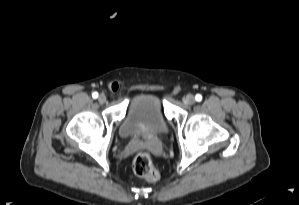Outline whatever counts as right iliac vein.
<instances>
[{"instance_id":"1","label":"right iliac vein","mask_w":299,"mask_h":205,"mask_svg":"<svg viewBox=\"0 0 299 205\" xmlns=\"http://www.w3.org/2000/svg\"><path fill=\"white\" fill-rule=\"evenodd\" d=\"M98 101L103 104L106 102V96L104 94H100L98 97Z\"/></svg>"}]
</instances>
